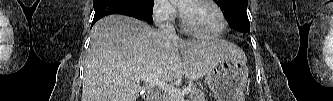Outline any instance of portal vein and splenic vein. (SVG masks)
Instances as JSON below:
<instances>
[{
    "label": "portal vein and splenic vein",
    "instance_id": "1",
    "mask_svg": "<svg viewBox=\"0 0 333 101\" xmlns=\"http://www.w3.org/2000/svg\"><path fill=\"white\" fill-rule=\"evenodd\" d=\"M140 79L144 82L149 83L152 86H157L160 89L164 90L166 93L172 95L177 98L179 101H183L184 95L188 94L191 91V88L187 87L184 89H177L171 85H168L164 81L159 80L154 75H144L141 76Z\"/></svg>",
    "mask_w": 333,
    "mask_h": 101
}]
</instances>
